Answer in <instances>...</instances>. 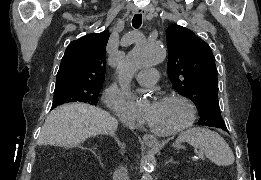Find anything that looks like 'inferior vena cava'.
Here are the masks:
<instances>
[{"instance_id": "602c4592", "label": "inferior vena cava", "mask_w": 261, "mask_h": 180, "mask_svg": "<svg viewBox=\"0 0 261 180\" xmlns=\"http://www.w3.org/2000/svg\"><path fill=\"white\" fill-rule=\"evenodd\" d=\"M119 174H120V176H125V172H123V168H121V170H119Z\"/></svg>"}]
</instances>
